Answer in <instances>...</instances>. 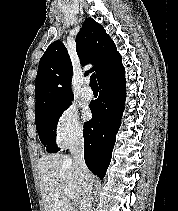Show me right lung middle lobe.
<instances>
[{
    "instance_id": "1",
    "label": "right lung middle lobe",
    "mask_w": 178,
    "mask_h": 211,
    "mask_svg": "<svg viewBox=\"0 0 178 211\" xmlns=\"http://www.w3.org/2000/svg\"><path fill=\"white\" fill-rule=\"evenodd\" d=\"M71 105V101L48 106L35 114V122L40 140L48 152H57L56 129L59 116Z\"/></svg>"
}]
</instances>
